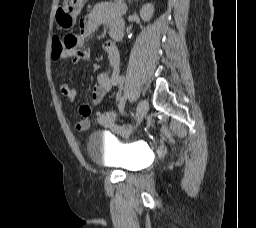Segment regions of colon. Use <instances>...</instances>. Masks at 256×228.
I'll return each mask as SVG.
<instances>
[{
  "label": "colon",
  "instance_id": "1",
  "mask_svg": "<svg viewBox=\"0 0 256 228\" xmlns=\"http://www.w3.org/2000/svg\"><path fill=\"white\" fill-rule=\"evenodd\" d=\"M64 48V43L58 37L53 39L52 43V55L55 59H57L62 53ZM117 119V115L115 112H105L98 116L97 123L100 126H110L115 124Z\"/></svg>",
  "mask_w": 256,
  "mask_h": 228
}]
</instances>
